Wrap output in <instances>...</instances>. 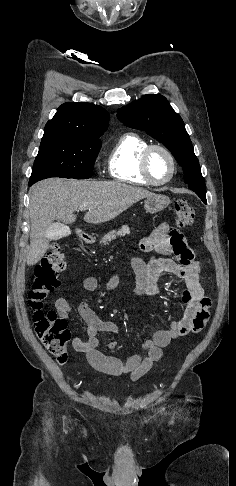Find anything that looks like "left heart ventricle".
<instances>
[{
	"instance_id": "b2bd125f",
	"label": "left heart ventricle",
	"mask_w": 236,
	"mask_h": 486,
	"mask_svg": "<svg viewBox=\"0 0 236 486\" xmlns=\"http://www.w3.org/2000/svg\"><path fill=\"white\" fill-rule=\"evenodd\" d=\"M148 167L151 176L157 181L166 179L171 171V164L168 157L159 150H154L150 154Z\"/></svg>"
}]
</instances>
